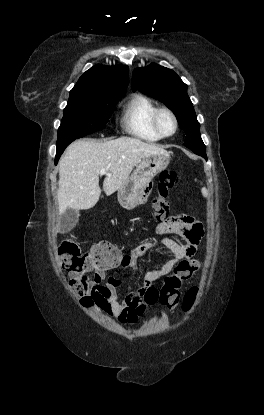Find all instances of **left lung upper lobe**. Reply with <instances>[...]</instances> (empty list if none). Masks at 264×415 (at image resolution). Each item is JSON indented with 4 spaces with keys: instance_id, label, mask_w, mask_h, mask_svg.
<instances>
[{
    "instance_id": "1",
    "label": "left lung upper lobe",
    "mask_w": 264,
    "mask_h": 415,
    "mask_svg": "<svg viewBox=\"0 0 264 415\" xmlns=\"http://www.w3.org/2000/svg\"><path fill=\"white\" fill-rule=\"evenodd\" d=\"M132 90L160 100L175 114L185 131V146L190 149L205 148L200 135V124L187 95V85L172 70L157 64L136 68L132 75Z\"/></svg>"
}]
</instances>
